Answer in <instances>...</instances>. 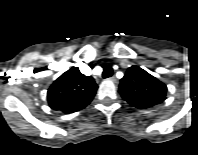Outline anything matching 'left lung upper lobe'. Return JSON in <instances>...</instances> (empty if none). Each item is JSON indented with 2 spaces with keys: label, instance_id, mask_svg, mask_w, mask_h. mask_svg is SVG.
Wrapping results in <instances>:
<instances>
[{
  "label": "left lung upper lobe",
  "instance_id": "left-lung-upper-lobe-1",
  "mask_svg": "<svg viewBox=\"0 0 198 155\" xmlns=\"http://www.w3.org/2000/svg\"><path fill=\"white\" fill-rule=\"evenodd\" d=\"M164 83L138 66H132L121 79L119 92L124 100L137 108L152 107L165 99Z\"/></svg>",
  "mask_w": 198,
  "mask_h": 155
}]
</instances>
